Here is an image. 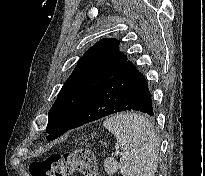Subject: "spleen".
Segmentation results:
<instances>
[{
    "label": "spleen",
    "instance_id": "3e777b00",
    "mask_svg": "<svg viewBox=\"0 0 205 176\" xmlns=\"http://www.w3.org/2000/svg\"><path fill=\"white\" fill-rule=\"evenodd\" d=\"M114 134L122 150V176H155L159 159V138L152 123L136 113L114 115L103 123Z\"/></svg>",
    "mask_w": 205,
    "mask_h": 176
}]
</instances>
